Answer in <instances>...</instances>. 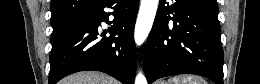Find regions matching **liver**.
<instances>
[{
  "label": "liver",
  "instance_id": "6515ba94",
  "mask_svg": "<svg viewBox=\"0 0 260 84\" xmlns=\"http://www.w3.org/2000/svg\"><path fill=\"white\" fill-rule=\"evenodd\" d=\"M62 84H117V81L103 73L83 71L66 77Z\"/></svg>",
  "mask_w": 260,
  "mask_h": 84
}]
</instances>
